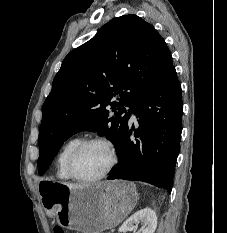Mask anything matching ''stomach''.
Instances as JSON below:
<instances>
[{"label":"stomach","instance_id":"obj_1","mask_svg":"<svg viewBox=\"0 0 227 233\" xmlns=\"http://www.w3.org/2000/svg\"><path fill=\"white\" fill-rule=\"evenodd\" d=\"M39 193L46 213L64 227L81 233H102L122 222L137 204L131 182L105 181L70 188L50 180L40 183Z\"/></svg>","mask_w":227,"mask_h":233}]
</instances>
